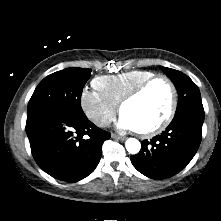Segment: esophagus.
I'll return each mask as SVG.
<instances>
[{
	"instance_id": "34e87169",
	"label": "esophagus",
	"mask_w": 221,
	"mask_h": 221,
	"mask_svg": "<svg viewBox=\"0 0 221 221\" xmlns=\"http://www.w3.org/2000/svg\"><path fill=\"white\" fill-rule=\"evenodd\" d=\"M111 136H112V138L118 139V140H124L125 139L124 136H120V135H117V134H112Z\"/></svg>"
}]
</instances>
